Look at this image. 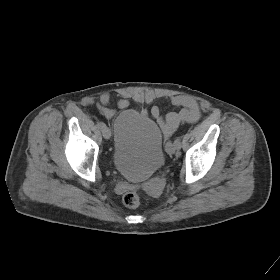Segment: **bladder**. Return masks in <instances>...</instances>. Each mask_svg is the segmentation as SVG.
Segmentation results:
<instances>
[{"label": "bladder", "instance_id": "bladder-1", "mask_svg": "<svg viewBox=\"0 0 280 280\" xmlns=\"http://www.w3.org/2000/svg\"><path fill=\"white\" fill-rule=\"evenodd\" d=\"M112 161L123 176L145 180L164 163L163 134L156 120L127 109L113 123Z\"/></svg>", "mask_w": 280, "mask_h": 280}]
</instances>
